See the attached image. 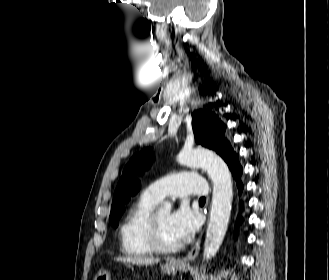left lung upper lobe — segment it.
<instances>
[{
	"instance_id": "left-lung-upper-lobe-1",
	"label": "left lung upper lobe",
	"mask_w": 329,
	"mask_h": 280,
	"mask_svg": "<svg viewBox=\"0 0 329 280\" xmlns=\"http://www.w3.org/2000/svg\"><path fill=\"white\" fill-rule=\"evenodd\" d=\"M193 132L197 143L215 150L228 164L239 162L238 155L232 149L230 142L225 138V124L218 116L208 110H197L193 113ZM154 154L151 148L136 153L123 170L122 177L114 192L109 222L117 227L119 219L125 211V204L140 189V181L135 178L143 174L152 164Z\"/></svg>"
}]
</instances>
